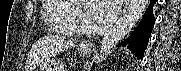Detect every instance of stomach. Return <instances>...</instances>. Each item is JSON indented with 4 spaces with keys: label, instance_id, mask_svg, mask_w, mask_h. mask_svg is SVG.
<instances>
[{
    "label": "stomach",
    "instance_id": "obj_1",
    "mask_svg": "<svg viewBox=\"0 0 181 71\" xmlns=\"http://www.w3.org/2000/svg\"><path fill=\"white\" fill-rule=\"evenodd\" d=\"M80 53L83 56L87 57V56L91 55L92 51H91V49L81 48ZM38 71H64V68H62L61 66H59L56 63H53V62L48 63L47 62V63L41 65Z\"/></svg>",
    "mask_w": 181,
    "mask_h": 71
}]
</instances>
